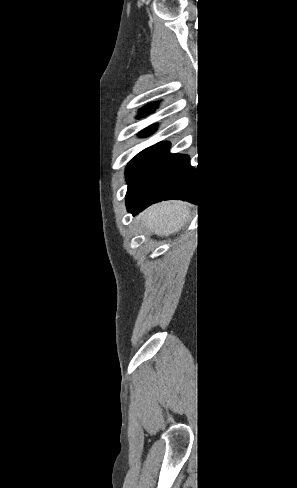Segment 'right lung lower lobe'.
<instances>
[{"mask_svg":"<svg viewBox=\"0 0 297 488\" xmlns=\"http://www.w3.org/2000/svg\"><path fill=\"white\" fill-rule=\"evenodd\" d=\"M168 148L127 196V210L133 215L162 200L182 199L196 203L199 197L196 169L191 167L188 156L170 154Z\"/></svg>","mask_w":297,"mask_h":488,"instance_id":"obj_1","label":"right lung lower lobe"}]
</instances>
